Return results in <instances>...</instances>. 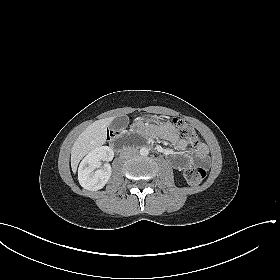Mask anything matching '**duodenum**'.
<instances>
[{"label": "duodenum", "mask_w": 280, "mask_h": 280, "mask_svg": "<svg viewBox=\"0 0 280 280\" xmlns=\"http://www.w3.org/2000/svg\"><path fill=\"white\" fill-rule=\"evenodd\" d=\"M113 147L115 149H121L122 148V143L120 141V138H117L114 142H113Z\"/></svg>", "instance_id": "duodenum-1"}]
</instances>
